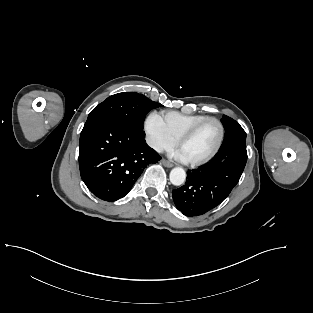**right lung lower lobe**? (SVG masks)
Returning <instances> with one entry per match:
<instances>
[{"mask_svg": "<svg viewBox=\"0 0 313 313\" xmlns=\"http://www.w3.org/2000/svg\"><path fill=\"white\" fill-rule=\"evenodd\" d=\"M145 133L121 121L86 123L79 143V168L88 189L104 201L123 198L150 163L161 157L145 143Z\"/></svg>", "mask_w": 313, "mask_h": 313, "instance_id": "98d812e1", "label": "right lung lower lobe"}]
</instances>
